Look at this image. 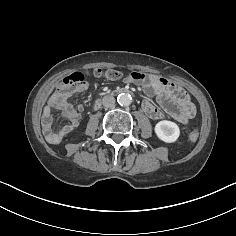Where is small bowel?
Returning <instances> with one entry per match:
<instances>
[{
  "mask_svg": "<svg viewBox=\"0 0 236 236\" xmlns=\"http://www.w3.org/2000/svg\"><path fill=\"white\" fill-rule=\"evenodd\" d=\"M71 75L66 76L59 83L57 90L49 97L42 113V130L47 142L60 143L67 135L79 126L81 113L84 105L79 104L76 108L70 103V99L84 94L88 89L86 82L70 83ZM126 83L140 82L148 95L156 96L163 110L157 108L150 100L142 102L145 113L153 120H162L171 117L182 125H187L196 113L194 104L189 95L168 79L149 75L140 80L133 81L129 75L125 78ZM59 110L61 117L68 121L57 130L53 129L52 111Z\"/></svg>",
  "mask_w": 236,
  "mask_h": 236,
  "instance_id": "c3829d8e",
  "label": "small bowel"
}]
</instances>
